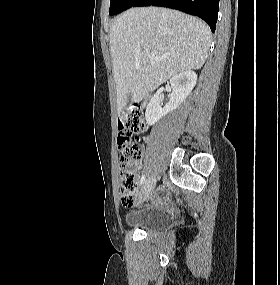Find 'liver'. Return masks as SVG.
Returning <instances> with one entry per match:
<instances>
[{
	"instance_id": "6515ba94",
	"label": "liver",
	"mask_w": 280,
	"mask_h": 285,
	"mask_svg": "<svg viewBox=\"0 0 280 285\" xmlns=\"http://www.w3.org/2000/svg\"><path fill=\"white\" fill-rule=\"evenodd\" d=\"M110 51L117 110L139 103L172 76L200 69L207 59L211 31L203 21L164 8H131L111 25ZM148 49L149 53H144ZM164 57L151 61L150 56Z\"/></svg>"
}]
</instances>
